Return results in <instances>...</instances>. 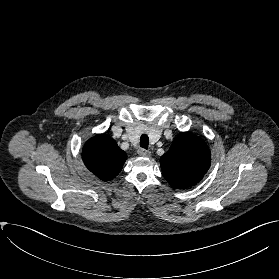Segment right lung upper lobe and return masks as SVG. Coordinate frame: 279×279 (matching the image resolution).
<instances>
[{"label":"right lung upper lobe","instance_id":"cb5924a9","mask_svg":"<svg viewBox=\"0 0 279 279\" xmlns=\"http://www.w3.org/2000/svg\"><path fill=\"white\" fill-rule=\"evenodd\" d=\"M126 158V153L106 134H98L88 140L82 151L86 167L103 181L117 176Z\"/></svg>","mask_w":279,"mask_h":279}]
</instances>
